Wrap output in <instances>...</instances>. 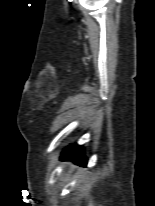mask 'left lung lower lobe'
Returning <instances> with one entry per match:
<instances>
[{
    "instance_id": "left-lung-lower-lobe-1",
    "label": "left lung lower lobe",
    "mask_w": 155,
    "mask_h": 206,
    "mask_svg": "<svg viewBox=\"0 0 155 206\" xmlns=\"http://www.w3.org/2000/svg\"><path fill=\"white\" fill-rule=\"evenodd\" d=\"M61 159L72 160L81 166H86L87 163L82 146H78L77 144H72L71 146L64 149Z\"/></svg>"
}]
</instances>
